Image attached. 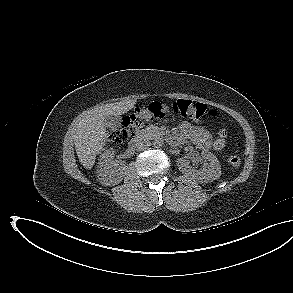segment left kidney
Wrapping results in <instances>:
<instances>
[{
  "label": "left kidney",
  "instance_id": "left-kidney-1",
  "mask_svg": "<svg viewBox=\"0 0 293 293\" xmlns=\"http://www.w3.org/2000/svg\"><path fill=\"white\" fill-rule=\"evenodd\" d=\"M202 158L209 163L199 170L192 168L189 160L185 158H179L177 166L182 173L199 182L208 183L217 180L221 176V165L217 157L211 152H202Z\"/></svg>",
  "mask_w": 293,
  "mask_h": 293
}]
</instances>
